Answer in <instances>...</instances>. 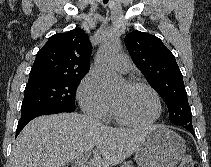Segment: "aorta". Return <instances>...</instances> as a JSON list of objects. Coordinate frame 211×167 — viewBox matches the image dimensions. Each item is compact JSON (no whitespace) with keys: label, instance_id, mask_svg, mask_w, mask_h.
I'll return each mask as SVG.
<instances>
[{"label":"aorta","instance_id":"obj_1","mask_svg":"<svg viewBox=\"0 0 211 167\" xmlns=\"http://www.w3.org/2000/svg\"><path fill=\"white\" fill-rule=\"evenodd\" d=\"M120 48L121 43L119 39L110 37L101 44L97 52L95 68L106 91L116 89L123 82L122 77L116 74L112 67V59L119 52Z\"/></svg>","mask_w":211,"mask_h":167}]
</instances>
